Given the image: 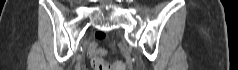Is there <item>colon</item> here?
<instances>
[{
    "label": "colon",
    "mask_w": 238,
    "mask_h": 70,
    "mask_svg": "<svg viewBox=\"0 0 238 70\" xmlns=\"http://www.w3.org/2000/svg\"><path fill=\"white\" fill-rule=\"evenodd\" d=\"M98 38H104L105 34L102 32L97 33ZM106 51L102 48L92 46L89 49V54L92 56V66L95 70H125V65L122 62L107 63L102 56Z\"/></svg>",
    "instance_id": "colon-1"
}]
</instances>
